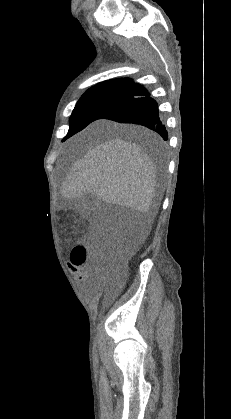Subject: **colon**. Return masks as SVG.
Instances as JSON below:
<instances>
[{
    "instance_id": "1",
    "label": "colon",
    "mask_w": 231,
    "mask_h": 419,
    "mask_svg": "<svg viewBox=\"0 0 231 419\" xmlns=\"http://www.w3.org/2000/svg\"><path fill=\"white\" fill-rule=\"evenodd\" d=\"M96 256L97 252L95 250L79 245L74 247L71 252V263L78 266L83 264L87 259H95ZM125 270V257L118 253L110 254L108 266L104 272V278L107 280H118L124 275Z\"/></svg>"
}]
</instances>
